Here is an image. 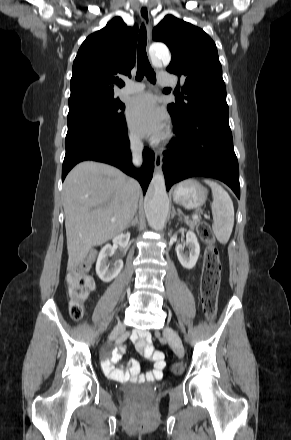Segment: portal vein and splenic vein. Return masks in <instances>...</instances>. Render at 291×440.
<instances>
[{
  "label": "portal vein and splenic vein",
  "instance_id": "obj_1",
  "mask_svg": "<svg viewBox=\"0 0 291 440\" xmlns=\"http://www.w3.org/2000/svg\"><path fill=\"white\" fill-rule=\"evenodd\" d=\"M198 217L197 216H193V219H197ZM114 221V220H113Z\"/></svg>",
  "mask_w": 291,
  "mask_h": 440
}]
</instances>
